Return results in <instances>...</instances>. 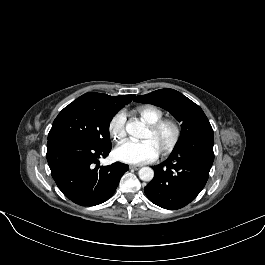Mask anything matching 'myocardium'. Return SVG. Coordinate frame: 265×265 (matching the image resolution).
Wrapping results in <instances>:
<instances>
[{
  "mask_svg": "<svg viewBox=\"0 0 265 265\" xmlns=\"http://www.w3.org/2000/svg\"><path fill=\"white\" fill-rule=\"evenodd\" d=\"M165 126H170L172 128L173 135L169 143L158 152L161 156H165L172 152L179 144L182 136L181 126L179 122L173 118H162L152 124H149L147 127L152 134H156Z\"/></svg>",
  "mask_w": 265,
  "mask_h": 265,
  "instance_id": "1",
  "label": "myocardium"
}]
</instances>
